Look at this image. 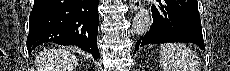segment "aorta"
<instances>
[{"label":"aorta","instance_id":"obj_1","mask_svg":"<svg viewBox=\"0 0 230 71\" xmlns=\"http://www.w3.org/2000/svg\"><path fill=\"white\" fill-rule=\"evenodd\" d=\"M151 24L152 20L149 11L144 8H140L133 19L132 31L136 35H144L148 32Z\"/></svg>","mask_w":230,"mask_h":71}]
</instances>
